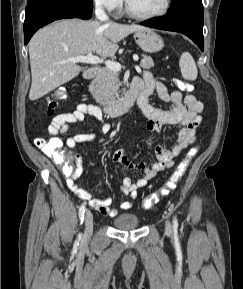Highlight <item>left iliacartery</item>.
Returning <instances> with one entry per match:
<instances>
[{
	"label": "left iliac artery",
	"mask_w": 243,
	"mask_h": 289,
	"mask_svg": "<svg viewBox=\"0 0 243 289\" xmlns=\"http://www.w3.org/2000/svg\"><path fill=\"white\" fill-rule=\"evenodd\" d=\"M173 226L175 229L178 227V221L176 217H174Z\"/></svg>",
	"instance_id": "left-iliac-artery-1"
}]
</instances>
